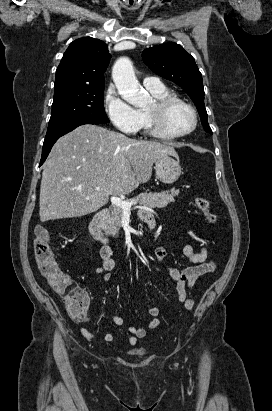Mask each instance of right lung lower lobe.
Here are the masks:
<instances>
[{
	"label": "right lung lower lobe",
	"mask_w": 272,
	"mask_h": 411,
	"mask_svg": "<svg viewBox=\"0 0 272 411\" xmlns=\"http://www.w3.org/2000/svg\"><path fill=\"white\" fill-rule=\"evenodd\" d=\"M82 124H101L98 122H92V121H88V120H83V121H78L76 123L70 124L68 126H66L65 128H63L60 131H57L55 133L46 135V138L44 140V144H43V148H42V156H41V161H40V165L41 166L45 159L47 158L52 146L54 145V143L63 135H65L66 133L72 131L73 129H75L76 127L82 125Z\"/></svg>",
	"instance_id": "1"
}]
</instances>
